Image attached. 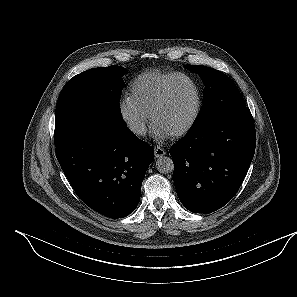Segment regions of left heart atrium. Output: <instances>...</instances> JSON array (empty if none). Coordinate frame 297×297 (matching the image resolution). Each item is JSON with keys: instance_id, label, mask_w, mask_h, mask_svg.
I'll return each instance as SVG.
<instances>
[{"instance_id": "obj_1", "label": "left heart atrium", "mask_w": 297, "mask_h": 297, "mask_svg": "<svg viewBox=\"0 0 297 297\" xmlns=\"http://www.w3.org/2000/svg\"><path fill=\"white\" fill-rule=\"evenodd\" d=\"M152 134L155 138H158V139H165L167 138L169 135L165 132H163L162 130H160L159 128L155 127L153 125V128H152Z\"/></svg>"}]
</instances>
